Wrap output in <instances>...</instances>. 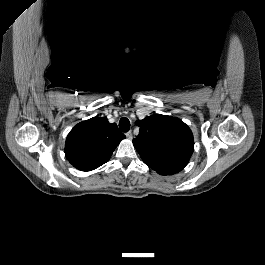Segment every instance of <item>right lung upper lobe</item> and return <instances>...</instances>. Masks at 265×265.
<instances>
[{
	"label": "right lung upper lobe",
	"instance_id": "obj_1",
	"mask_svg": "<svg viewBox=\"0 0 265 265\" xmlns=\"http://www.w3.org/2000/svg\"><path fill=\"white\" fill-rule=\"evenodd\" d=\"M125 135L107 118L93 117L75 125L67 136L65 154L81 171H91L106 163Z\"/></svg>",
	"mask_w": 265,
	"mask_h": 265
}]
</instances>
